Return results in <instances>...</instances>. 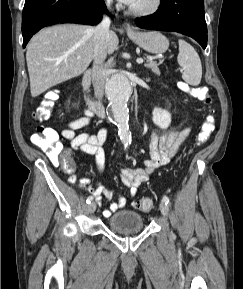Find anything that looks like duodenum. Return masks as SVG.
Masks as SVG:
<instances>
[{"instance_id":"duodenum-1","label":"duodenum","mask_w":243,"mask_h":289,"mask_svg":"<svg viewBox=\"0 0 243 289\" xmlns=\"http://www.w3.org/2000/svg\"><path fill=\"white\" fill-rule=\"evenodd\" d=\"M92 71L88 70L84 73L82 78V88L84 99L89 109L99 117H105V107L99 100L95 99L91 93Z\"/></svg>"}]
</instances>
